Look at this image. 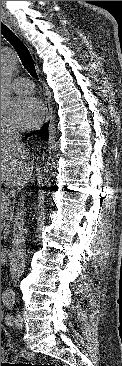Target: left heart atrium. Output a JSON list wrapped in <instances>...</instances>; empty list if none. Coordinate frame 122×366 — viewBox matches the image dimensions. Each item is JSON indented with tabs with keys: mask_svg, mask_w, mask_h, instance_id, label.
<instances>
[{
	"mask_svg": "<svg viewBox=\"0 0 122 366\" xmlns=\"http://www.w3.org/2000/svg\"><path fill=\"white\" fill-rule=\"evenodd\" d=\"M44 109L39 99L32 96H18L10 104V122L18 127H36L42 120Z\"/></svg>",
	"mask_w": 122,
	"mask_h": 366,
	"instance_id": "obj_1",
	"label": "left heart atrium"
}]
</instances>
